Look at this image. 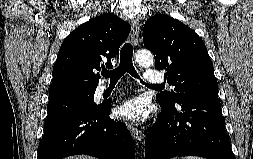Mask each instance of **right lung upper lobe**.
Listing matches in <instances>:
<instances>
[{"label":"right lung upper lobe","instance_id":"obj_1","mask_svg":"<svg viewBox=\"0 0 253 159\" xmlns=\"http://www.w3.org/2000/svg\"><path fill=\"white\" fill-rule=\"evenodd\" d=\"M130 25L117 16L105 13L80 25L63 41L53 67L49 100L95 92L98 74L130 32Z\"/></svg>","mask_w":253,"mask_h":159}]
</instances>
